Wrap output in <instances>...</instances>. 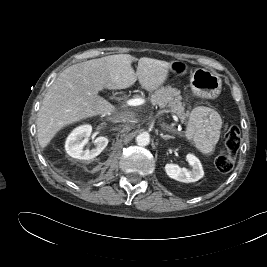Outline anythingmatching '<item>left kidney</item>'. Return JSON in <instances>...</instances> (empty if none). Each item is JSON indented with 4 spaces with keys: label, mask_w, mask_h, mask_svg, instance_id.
Segmentation results:
<instances>
[{
    "label": "left kidney",
    "mask_w": 267,
    "mask_h": 267,
    "mask_svg": "<svg viewBox=\"0 0 267 267\" xmlns=\"http://www.w3.org/2000/svg\"><path fill=\"white\" fill-rule=\"evenodd\" d=\"M186 160L192 167L191 170L181 168L177 164L168 163L165 165L167 175L179 182L190 183L200 180L204 176L200 160L193 154H187Z\"/></svg>",
    "instance_id": "1"
}]
</instances>
